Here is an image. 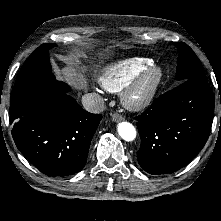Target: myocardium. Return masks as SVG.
Here are the masks:
<instances>
[{"mask_svg": "<svg viewBox=\"0 0 221 221\" xmlns=\"http://www.w3.org/2000/svg\"><path fill=\"white\" fill-rule=\"evenodd\" d=\"M163 78L162 67L156 64L150 65L122 89V103L133 111L147 108L155 99Z\"/></svg>", "mask_w": 221, "mask_h": 221, "instance_id": "1", "label": "myocardium"}]
</instances>
